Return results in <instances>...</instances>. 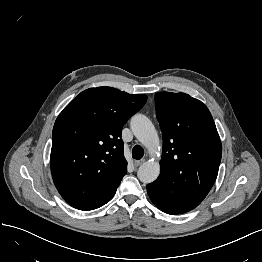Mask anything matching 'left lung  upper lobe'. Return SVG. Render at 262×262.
<instances>
[{
	"label": "left lung upper lobe",
	"mask_w": 262,
	"mask_h": 262,
	"mask_svg": "<svg viewBox=\"0 0 262 262\" xmlns=\"http://www.w3.org/2000/svg\"><path fill=\"white\" fill-rule=\"evenodd\" d=\"M163 136L161 173L147 185L151 201L172 214L198 206L212 188L221 161V141L208 108L185 93L155 95Z\"/></svg>",
	"instance_id": "1"
}]
</instances>
